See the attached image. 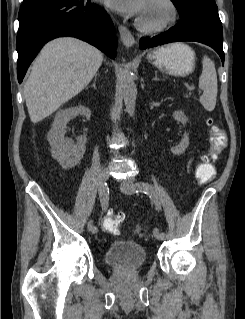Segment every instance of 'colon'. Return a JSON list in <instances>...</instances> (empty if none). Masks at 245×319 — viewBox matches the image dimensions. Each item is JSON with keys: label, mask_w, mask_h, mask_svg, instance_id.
Listing matches in <instances>:
<instances>
[{"label": "colon", "mask_w": 245, "mask_h": 319, "mask_svg": "<svg viewBox=\"0 0 245 319\" xmlns=\"http://www.w3.org/2000/svg\"><path fill=\"white\" fill-rule=\"evenodd\" d=\"M210 127V147L209 151L201 157V162L195 170V177L199 182L206 183L211 181L216 169L214 162L219 159L221 153L226 146V136L224 131L214 123L213 119L207 120ZM125 220V214L120 212L117 214H108L103 220V228L106 232L118 235L120 232V224ZM139 234L141 232L138 231Z\"/></svg>", "instance_id": "5ec220e1"}]
</instances>
